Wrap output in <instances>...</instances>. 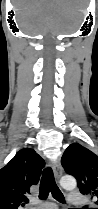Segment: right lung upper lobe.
<instances>
[{"label":"right lung upper lobe","instance_id":"cb5924a9","mask_svg":"<svg viewBox=\"0 0 98 209\" xmlns=\"http://www.w3.org/2000/svg\"><path fill=\"white\" fill-rule=\"evenodd\" d=\"M44 160L30 148L18 151L0 169V209H18L28 203L30 187L39 181Z\"/></svg>","mask_w":98,"mask_h":209}]
</instances>
